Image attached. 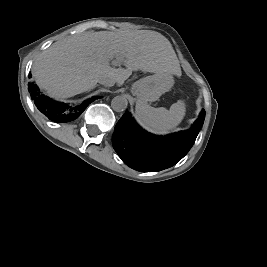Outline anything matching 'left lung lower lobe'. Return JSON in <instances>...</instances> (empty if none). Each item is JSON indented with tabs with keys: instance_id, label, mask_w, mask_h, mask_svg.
<instances>
[{
	"instance_id": "0a47b994",
	"label": "left lung lower lobe",
	"mask_w": 267,
	"mask_h": 267,
	"mask_svg": "<svg viewBox=\"0 0 267 267\" xmlns=\"http://www.w3.org/2000/svg\"><path fill=\"white\" fill-rule=\"evenodd\" d=\"M205 111L187 131L159 137L142 130L126 111L115 126L112 144L119 157L141 172L160 171L182 159L194 144Z\"/></svg>"
}]
</instances>
